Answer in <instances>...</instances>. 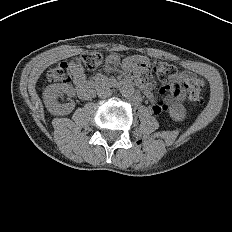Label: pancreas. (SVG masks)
Here are the masks:
<instances>
[{"instance_id":"1","label":"pancreas","mask_w":232,"mask_h":232,"mask_svg":"<svg viewBox=\"0 0 232 232\" xmlns=\"http://www.w3.org/2000/svg\"><path fill=\"white\" fill-rule=\"evenodd\" d=\"M97 78H98L99 80H105V81H107V79L104 78V77H102V76H98Z\"/></svg>"}]
</instances>
